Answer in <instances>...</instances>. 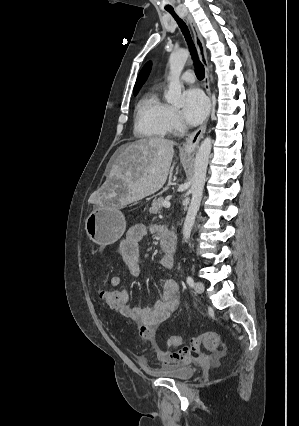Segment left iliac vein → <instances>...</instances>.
Segmentation results:
<instances>
[{
  "instance_id": "4c4485c4",
  "label": "left iliac vein",
  "mask_w": 299,
  "mask_h": 426,
  "mask_svg": "<svg viewBox=\"0 0 299 426\" xmlns=\"http://www.w3.org/2000/svg\"><path fill=\"white\" fill-rule=\"evenodd\" d=\"M194 289L197 293L202 294L205 288L202 282L197 281L194 284Z\"/></svg>"
}]
</instances>
